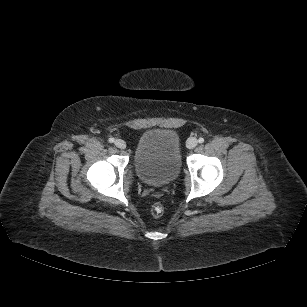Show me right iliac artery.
<instances>
[{"instance_id": "1", "label": "right iliac artery", "mask_w": 307, "mask_h": 307, "mask_svg": "<svg viewBox=\"0 0 307 307\" xmlns=\"http://www.w3.org/2000/svg\"><path fill=\"white\" fill-rule=\"evenodd\" d=\"M110 143H113L114 141H115V139L114 138H109V140H108Z\"/></svg>"}]
</instances>
